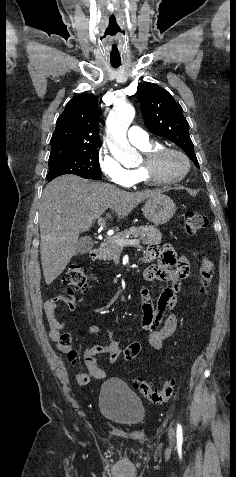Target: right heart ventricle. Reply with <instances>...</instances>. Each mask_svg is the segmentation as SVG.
Here are the masks:
<instances>
[{
	"label": "right heart ventricle",
	"instance_id": "1",
	"mask_svg": "<svg viewBox=\"0 0 236 477\" xmlns=\"http://www.w3.org/2000/svg\"><path fill=\"white\" fill-rule=\"evenodd\" d=\"M140 151H142L145 155L151 152L153 149L159 147V145L155 142L149 141L148 143L144 145H139L137 146ZM129 174L131 177V186L137 185L140 183H148L144 177V174L142 173L140 167L131 169L129 170Z\"/></svg>",
	"mask_w": 236,
	"mask_h": 477
}]
</instances>
